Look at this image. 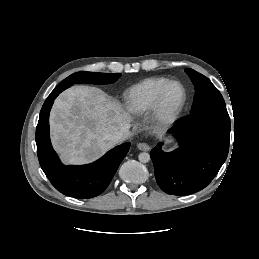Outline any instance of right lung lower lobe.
I'll list each match as a JSON object with an SVG mask.
<instances>
[{
    "label": "right lung lower lobe",
    "instance_id": "right-lung-lower-lobe-1",
    "mask_svg": "<svg viewBox=\"0 0 259 259\" xmlns=\"http://www.w3.org/2000/svg\"><path fill=\"white\" fill-rule=\"evenodd\" d=\"M59 92L52 91L42 106L36 128L37 155L40 166L52 185L67 196L87 199L100 195L111 182L130 143L107 152L97 161L82 166H65L53 150L49 137V113Z\"/></svg>",
    "mask_w": 259,
    "mask_h": 259
}]
</instances>
